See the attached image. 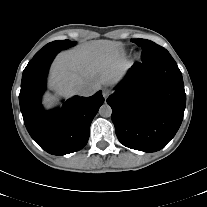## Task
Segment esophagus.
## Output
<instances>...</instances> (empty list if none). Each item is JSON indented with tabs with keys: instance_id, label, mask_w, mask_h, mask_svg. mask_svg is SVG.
<instances>
[{
	"instance_id": "esophagus-1",
	"label": "esophagus",
	"mask_w": 207,
	"mask_h": 207,
	"mask_svg": "<svg viewBox=\"0 0 207 207\" xmlns=\"http://www.w3.org/2000/svg\"><path fill=\"white\" fill-rule=\"evenodd\" d=\"M111 93H112L111 90L108 88H104L102 91V94L105 100L111 95Z\"/></svg>"
}]
</instances>
